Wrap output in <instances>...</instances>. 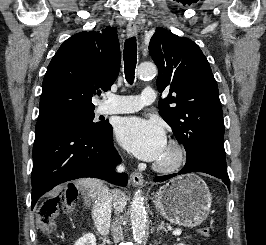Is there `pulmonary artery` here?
Here are the masks:
<instances>
[{
  "label": "pulmonary artery",
  "mask_w": 266,
  "mask_h": 245,
  "mask_svg": "<svg viewBox=\"0 0 266 245\" xmlns=\"http://www.w3.org/2000/svg\"><path fill=\"white\" fill-rule=\"evenodd\" d=\"M146 90L147 91L141 92L142 96H119L108 94L106 102L101 105V113H132L142 109L144 106L156 101L157 92L152 91L153 87L147 86Z\"/></svg>",
  "instance_id": "obj_1"
}]
</instances>
